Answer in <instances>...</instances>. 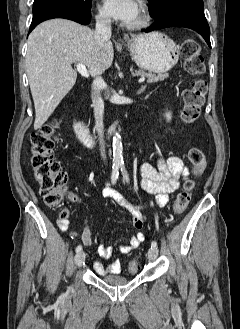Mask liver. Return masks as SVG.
<instances>
[{
  "mask_svg": "<svg viewBox=\"0 0 240 329\" xmlns=\"http://www.w3.org/2000/svg\"><path fill=\"white\" fill-rule=\"evenodd\" d=\"M114 50L108 40L96 43L94 32L65 19H52L38 25L29 35L26 69L35 106L34 129L48 120L74 86L77 73L72 63L85 65L94 75L108 69Z\"/></svg>",
  "mask_w": 240,
  "mask_h": 329,
  "instance_id": "1",
  "label": "liver"
}]
</instances>
